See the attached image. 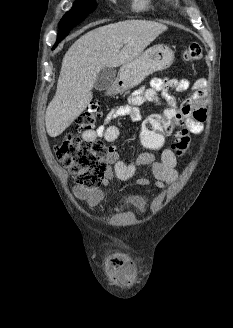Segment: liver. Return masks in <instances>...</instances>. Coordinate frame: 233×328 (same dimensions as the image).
Returning <instances> with one entry per match:
<instances>
[{
  "label": "liver",
  "instance_id": "obj_1",
  "mask_svg": "<svg viewBox=\"0 0 233 328\" xmlns=\"http://www.w3.org/2000/svg\"><path fill=\"white\" fill-rule=\"evenodd\" d=\"M166 30L161 23L127 20L96 28L75 41L63 58L56 93L46 109L48 135L62 134L86 109L96 77L104 67L132 61Z\"/></svg>",
  "mask_w": 233,
  "mask_h": 328
}]
</instances>
